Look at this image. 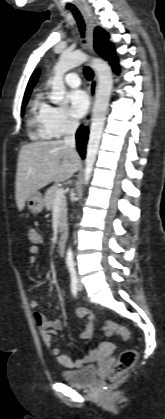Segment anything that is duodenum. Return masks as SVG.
Masks as SVG:
<instances>
[{
  "instance_id": "410a0bca",
  "label": "duodenum",
  "mask_w": 165,
  "mask_h": 419,
  "mask_svg": "<svg viewBox=\"0 0 165 419\" xmlns=\"http://www.w3.org/2000/svg\"><path fill=\"white\" fill-rule=\"evenodd\" d=\"M66 234L62 233L57 241V248L59 253L63 254L65 252V245H66Z\"/></svg>"
}]
</instances>
